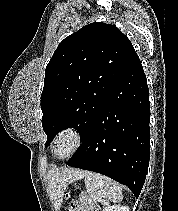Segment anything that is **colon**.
I'll return each instance as SVG.
<instances>
[{"instance_id": "5ec220e1", "label": "colon", "mask_w": 178, "mask_h": 211, "mask_svg": "<svg viewBox=\"0 0 178 211\" xmlns=\"http://www.w3.org/2000/svg\"><path fill=\"white\" fill-rule=\"evenodd\" d=\"M69 198V196H67ZM69 211H79L73 202H70Z\"/></svg>"}]
</instances>
